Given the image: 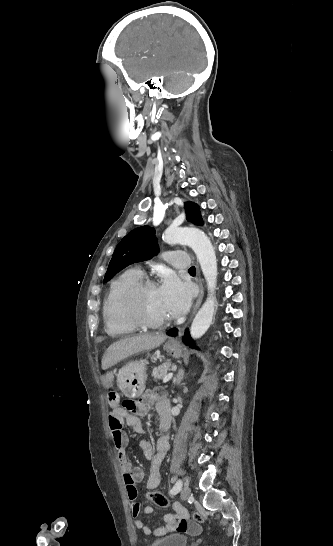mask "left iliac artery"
<instances>
[{
	"label": "left iliac artery",
	"instance_id": "left-iliac-artery-1",
	"mask_svg": "<svg viewBox=\"0 0 333 546\" xmlns=\"http://www.w3.org/2000/svg\"><path fill=\"white\" fill-rule=\"evenodd\" d=\"M181 488H182V480L179 479L177 480L173 488L170 490V494L171 495L177 494L181 490Z\"/></svg>",
	"mask_w": 333,
	"mask_h": 546
}]
</instances>
